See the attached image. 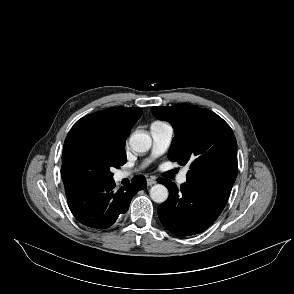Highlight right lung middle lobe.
Returning a JSON list of instances; mask_svg holds the SVG:
<instances>
[{"label":"right lung middle lobe","instance_id":"1","mask_svg":"<svg viewBox=\"0 0 294 294\" xmlns=\"http://www.w3.org/2000/svg\"><path fill=\"white\" fill-rule=\"evenodd\" d=\"M125 163V144L81 140L62 155V180L65 187L93 185L113 179L110 168Z\"/></svg>","mask_w":294,"mask_h":294}]
</instances>
